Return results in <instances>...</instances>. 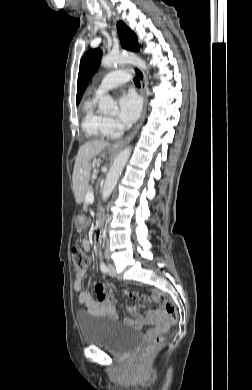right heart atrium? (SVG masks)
<instances>
[{
	"label": "right heart atrium",
	"mask_w": 252,
	"mask_h": 390,
	"mask_svg": "<svg viewBox=\"0 0 252 390\" xmlns=\"http://www.w3.org/2000/svg\"><path fill=\"white\" fill-rule=\"evenodd\" d=\"M106 129L111 135H114L120 130V125L113 118H106Z\"/></svg>",
	"instance_id": "right-heart-atrium-1"
}]
</instances>
